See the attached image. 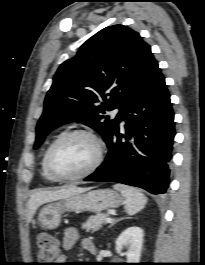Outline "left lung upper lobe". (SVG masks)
<instances>
[{
	"instance_id": "obj_1",
	"label": "left lung upper lobe",
	"mask_w": 205,
	"mask_h": 265,
	"mask_svg": "<svg viewBox=\"0 0 205 265\" xmlns=\"http://www.w3.org/2000/svg\"><path fill=\"white\" fill-rule=\"evenodd\" d=\"M155 64L150 46L138 32L113 25L96 33L58 68L36 127L34 149L51 130L73 121L95 129L108 143L120 112L114 119L103 114L121 111Z\"/></svg>"
}]
</instances>
